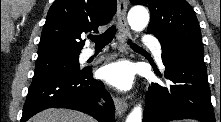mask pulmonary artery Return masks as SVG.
Returning <instances> with one entry per match:
<instances>
[{"mask_svg": "<svg viewBox=\"0 0 221 122\" xmlns=\"http://www.w3.org/2000/svg\"><path fill=\"white\" fill-rule=\"evenodd\" d=\"M144 45L150 49H152L154 56L156 60L161 64L162 63V50H161V45L158 42L157 39L147 36L144 38ZM95 54V51L93 49L87 48L85 49L82 54L81 58L82 60H87L88 58L92 57Z\"/></svg>", "mask_w": 221, "mask_h": 122, "instance_id": "pulmonary-artery-1", "label": "pulmonary artery"}]
</instances>
